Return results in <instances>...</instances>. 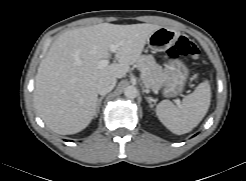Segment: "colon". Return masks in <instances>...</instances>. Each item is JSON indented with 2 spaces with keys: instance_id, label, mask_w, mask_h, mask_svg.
Instances as JSON below:
<instances>
[{
  "instance_id": "colon-1",
  "label": "colon",
  "mask_w": 246,
  "mask_h": 181,
  "mask_svg": "<svg viewBox=\"0 0 246 181\" xmlns=\"http://www.w3.org/2000/svg\"><path fill=\"white\" fill-rule=\"evenodd\" d=\"M180 57H190L197 59L199 57V50L196 45L186 37H180L174 46L169 48L166 52V58L175 60Z\"/></svg>"
}]
</instances>
